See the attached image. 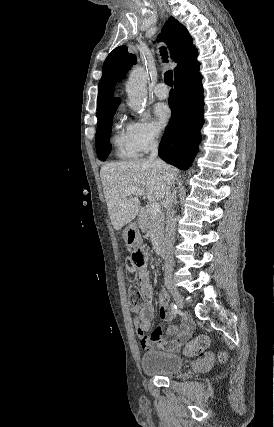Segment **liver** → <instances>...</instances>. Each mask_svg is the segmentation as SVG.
I'll list each match as a JSON object with an SVG mask.
<instances>
[{
  "instance_id": "liver-1",
  "label": "liver",
  "mask_w": 274,
  "mask_h": 427,
  "mask_svg": "<svg viewBox=\"0 0 274 427\" xmlns=\"http://www.w3.org/2000/svg\"><path fill=\"white\" fill-rule=\"evenodd\" d=\"M177 174L176 168L162 160H126L102 166L101 182L114 229H121L139 214L140 196H125L127 190H145L148 200L157 202L172 188Z\"/></svg>"
}]
</instances>
